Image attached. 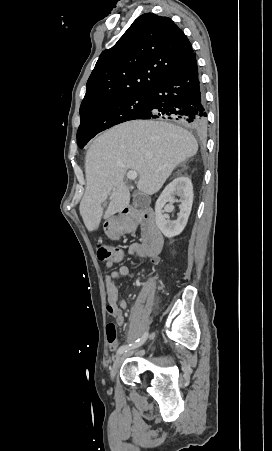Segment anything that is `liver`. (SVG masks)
<instances>
[{"label":"liver","instance_id":"1","mask_svg":"<svg viewBox=\"0 0 272 451\" xmlns=\"http://www.w3.org/2000/svg\"><path fill=\"white\" fill-rule=\"evenodd\" d=\"M197 150L191 132L168 122L132 120L103 132L86 154L87 184L79 210L87 229L99 226L108 196L104 220L129 206L130 192L124 182L127 170L138 172V190L152 196L174 168Z\"/></svg>","mask_w":272,"mask_h":451}]
</instances>
